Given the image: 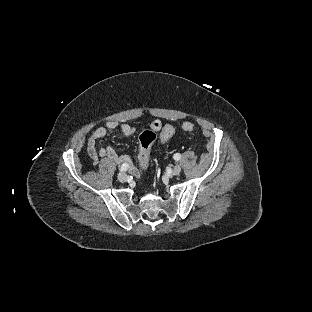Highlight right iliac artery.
<instances>
[{
  "instance_id": "82829eb1",
  "label": "right iliac artery",
  "mask_w": 312,
  "mask_h": 312,
  "mask_svg": "<svg viewBox=\"0 0 312 312\" xmlns=\"http://www.w3.org/2000/svg\"><path fill=\"white\" fill-rule=\"evenodd\" d=\"M128 169V164L127 163H123L122 165H121V167H120V171L121 172H124V171H126Z\"/></svg>"
}]
</instances>
